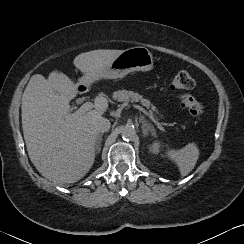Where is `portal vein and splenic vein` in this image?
<instances>
[{"mask_svg": "<svg viewBox=\"0 0 244 244\" xmlns=\"http://www.w3.org/2000/svg\"><path fill=\"white\" fill-rule=\"evenodd\" d=\"M96 107H97L96 104L91 103V102H86V103H84V104L78 109L77 113H79V114H83V113H86L87 111H89V110H91V109H93V108H96ZM134 107H135L136 109H139V110L142 111L144 114H146V115L149 116V113H148L144 108H142L141 106H139V105H134ZM154 123L156 124V126H157L160 130L165 131V129L162 127L161 123H159V122L156 121L155 119H154Z\"/></svg>", "mask_w": 244, "mask_h": 244, "instance_id": "18ae733b", "label": "portal vein and splenic vein"}]
</instances>
